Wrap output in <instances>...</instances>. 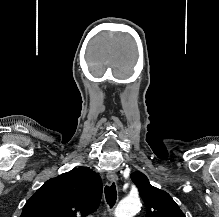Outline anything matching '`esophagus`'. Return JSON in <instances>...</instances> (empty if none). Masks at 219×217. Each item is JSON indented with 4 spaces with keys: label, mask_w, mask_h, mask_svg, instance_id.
<instances>
[{
    "label": "esophagus",
    "mask_w": 219,
    "mask_h": 217,
    "mask_svg": "<svg viewBox=\"0 0 219 217\" xmlns=\"http://www.w3.org/2000/svg\"><path fill=\"white\" fill-rule=\"evenodd\" d=\"M106 177H107V181H108L110 184H112L113 182H116L117 179H118L116 173L113 172V171L108 172Z\"/></svg>",
    "instance_id": "34e87169"
}]
</instances>
